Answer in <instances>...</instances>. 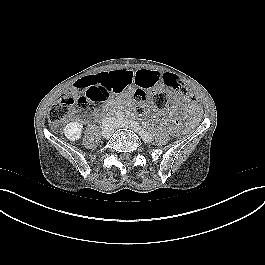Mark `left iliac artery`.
<instances>
[{"label": "left iliac artery", "instance_id": "obj_1", "mask_svg": "<svg viewBox=\"0 0 265 265\" xmlns=\"http://www.w3.org/2000/svg\"><path fill=\"white\" fill-rule=\"evenodd\" d=\"M140 133H141V137L144 138V139H148V138H152V136L147 133L144 129L141 128L140 130Z\"/></svg>", "mask_w": 265, "mask_h": 265}]
</instances>
